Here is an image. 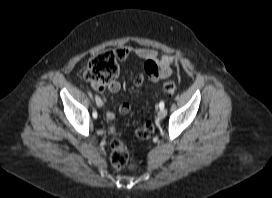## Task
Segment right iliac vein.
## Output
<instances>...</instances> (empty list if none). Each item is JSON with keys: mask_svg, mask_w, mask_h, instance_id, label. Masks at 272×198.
<instances>
[{"mask_svg": "<svg viewBox=\"0 0 272 198\" xmlns=\"http://www.w3.org/2000/svg\"><path fill=\"white\" fill-rule=\"evenodd\" d=\"M96 103H97V105H98L99 107L102 106L101 104H99L98 99H96Z\"/></svg>", "mask_w": 272, "mask_h": 198, "instance_id": "right-iliac-vein-1", "label": "right iliac vein"}]
</instances>
